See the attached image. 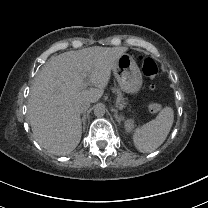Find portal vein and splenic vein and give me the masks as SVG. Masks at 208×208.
Returning a JSON list of instances; mask_svg holds the SVG:
<instances>
[{
    "instance_id": "obj_1",
    "label": "portal vein and splenic vein",
    "mask_w": 208,
    "mask_h": 208,
    "mask_svg": "<svg viewBox=\"0 0 208 208\" xmlns=\"http://www.w3.org/2000/svg\"><path fill=\"white\" fill-rule=\"evenodd\" d=\"M85 78H88V75H85ZM88 84H89V81H85L84 84H83V89L87 88ZM113 93H116L117 98H120L119 92H117L116 89H113ZM117 103H119V104H116V105H115V108H116L118 111H121V110H122V107H123V104L120 103V100H117Z\"/></svg>"
}]
</instances>
